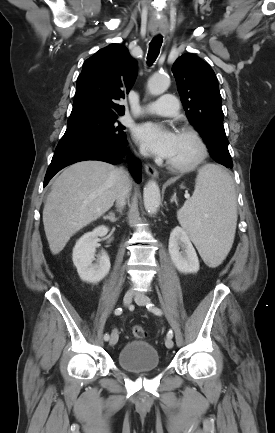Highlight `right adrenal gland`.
Segmentation results:
<instances>
[{
  "mask_svg": "<svg viewBox=\"0 0 275 433\" xmlns=\"http://www.w3.org/2000/svg\"><path fill=\"white\" fill-rule=\"evenodd\" d=\"M105 220H110V222H116L118 218L115 217V214L113 212H110L109 215L103 217Z\"/></svg>",
  "mask_w": 275,
  "mask_h": 433,
  "instance_id": "2a0ac1e0",
  "label": "right adrenal gland"
}]
</instances>
